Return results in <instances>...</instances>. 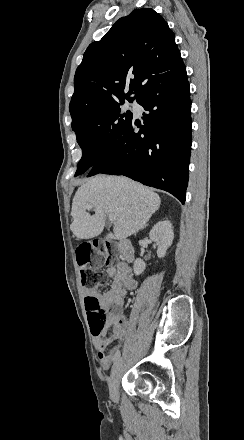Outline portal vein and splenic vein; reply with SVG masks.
I'll list each match as a JSON object with an SVG mask.
<instances>
[{
    "instance_id": "obj_1",
    "label": "portal vein and splenic vein",
    "mask_w": 244,
    "mask_h": 440,
    "mask_svg": "<svg viewBox=\"0 0 244 440\" xmlns=\"http://www.w3.org/2000/svg\"><path fill=\"white\" fill-rule=\"evenodd\" d=\"M88 210H91V206H88ZM108 218L110 222H115L116 220V216H114V214H108Z\"/></svg>"
}]
</instances>
